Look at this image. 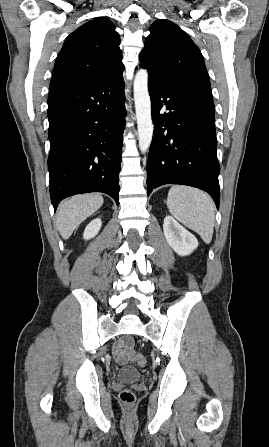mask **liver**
Returning a JSON list of instances; mask_svg holds the SVG:
<instances>
[{"mask_svg": "<svg viewBox=\"0 0 269 447\" xmlns=\"http://www.w3.org/2000/svg\"><path fill=\"white\" fill-rule=\"evenodd\" d=\"M103 204L101 194H82L65 200L58 210L57 229L63 239H68L74 229L86 218L97 212Z\"/></svg>", "mask_w": 269, "mask_h": 447, "instance_id": "obj_1", "label": "liver"}]
</instances>
